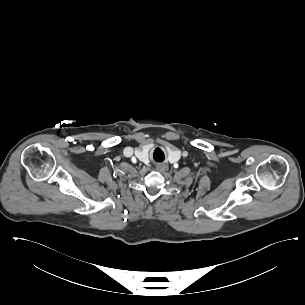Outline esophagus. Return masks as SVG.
<instances>
[{
	"mask_svg": "<svg viewBox=\"0 0 305 305\" xmlns=\"http://www.w3.org/2000/svg\"><path fill=\"white\" fill-rule=\"evenodd\" d=\"M168 165L167 164H163V163H159L156 165V170L157 171H167L168 170Z\"/></svg>",
	"mask_w": 305,
	"mask_h": 305,
	"instance_id": "obj_1",
	"label": "esophagus"
}]
</instances>
